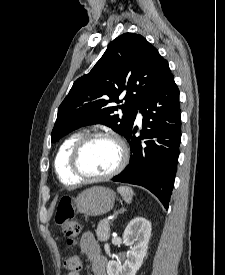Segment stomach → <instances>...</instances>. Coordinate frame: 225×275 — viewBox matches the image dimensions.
Returning a JSON list of instances; mask_svg holds the SVG:
<instances>
[{
  "instance_id": "1",
  "label": "stomach",
  "mask_w": 225,
  "mask_h": 275,
  "mask_svg": "<svg viewBox=\"0 0 225 275\" xmlns=\"http://www.w3.org/2000/svg\"><path fill=\"white\" fill-rule=\"evenodd\" d=\"M115 202L113 190L94 186L80 193L75 199V206L78 212L86 216H101L109 212Z\"/></svg>"
}]
</instances>
